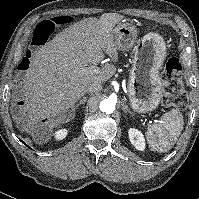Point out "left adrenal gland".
Masks as SVG:
<instances>
[{
    "instance_id": "1",
    "label": "left adrenal gland",
    "mask_w": 199,
    "mask_h": 199,
    "mask_svg": "<svg viewBox=\"0 0 199 199\" xmlns=\"http://www.w3.org/2000/svg\"><path fill=\"white\" fill-rule=\"evenodd\" d=\"M122 107H123V111H124L125 113L128 112L129 114H132L131 111H130V109L128 108V106L125 104L124 101L122 102Z\"/></svg>"
}]
</instances>
